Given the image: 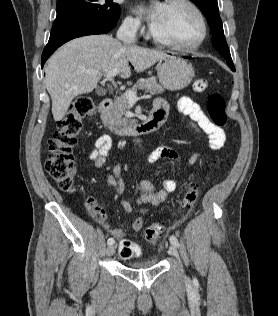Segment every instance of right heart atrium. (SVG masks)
<instances>
[{
  "label": "right heart atrium",
  "mask_w": 278,
  "mask_h": 316,
  "mask_svg": "<svg viewBox=\"0 0 278 316\" xmlns=\"http://www.w3.org/2000/svg\"><path fill=\"white\" fill-rule=\"evenodd\" d=\"M123 31L129 36H138L143 32V25L140 19L133 16H127L122 22Z\"/></svg>",
  "instance_id": "d8ad5b80"
}]
</instances>
